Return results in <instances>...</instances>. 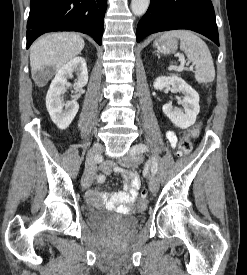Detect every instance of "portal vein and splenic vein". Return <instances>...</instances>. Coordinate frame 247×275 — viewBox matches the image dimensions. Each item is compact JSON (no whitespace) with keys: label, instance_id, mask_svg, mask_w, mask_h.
I'll return each mask as SVG.
<instances>
[{"label":"portal vein and splenic vein","instance_id":"1","mask_svg":"<svg viewBox=\"0 0 247 275\" xmlns=\"http://www.w3.org/2000/svg\"><path fill=\"white\" fill-rule=\"evenodd\" d=\"M179 59H180V61H181V67H179V68H176V67H170L169 68V70H177V71H181V70H183V68H184V63H185V58H184V56H179ZM190 70H192V68H190Z\"/></svg>","mask_w":247,"mask_h":275}]
</instances>
